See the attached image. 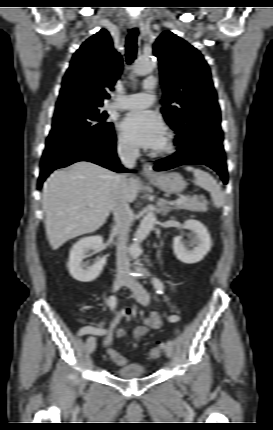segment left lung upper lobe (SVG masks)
Masks as SVG:
<instances>
[{
    "label": "left lung upper lobe",
    "instance_id": "1",
    "mask_svg": "<svg viewBox=\"0 0 273 430\" xmlns=\"http://www.w3.org/2000/svg\"><path fill=\"white\" fill-rule=\"evenodd\" d=\"M163 85L162 113L177 134L200 119L220 121L210 69L201 53L170 31L154 44Z\"/></svg>",
    "mask_w": 273,
    "mask_h": 430
}]
</instances>
